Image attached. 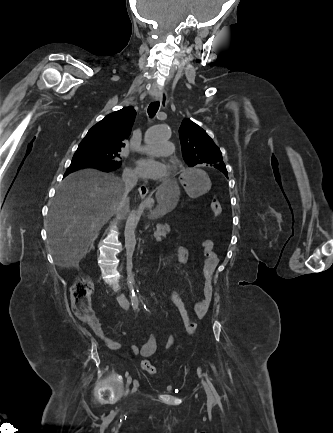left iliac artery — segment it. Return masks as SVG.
I'll return each mask as SVG.
<instances>
[{"instance_id": "1", "label": "left iliac artery", "mask_w": 333, "mask_h": 433, "mask_svg": "<svg viewBox=\"0 0 333 433\" xmlns=\"http://www.w3.org/2000/svg\"><path fill=\"white\" fill-rule=\"evenodd\" d=\"M133 295H134V293H133ZM132 305H133V308H134V309H138V302H137L136 299L133 301ZM203 375L205 376L206 381H207L208 385L210 386L211 390H212L214 393H216L215 388H214L213 384L211 383L210 379L208 378V376L205 375V374H203Z\"/></svg>"}]
</instances>
